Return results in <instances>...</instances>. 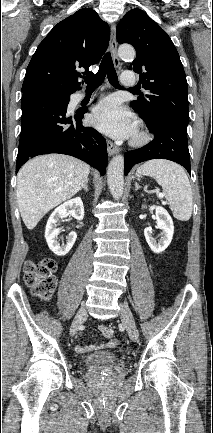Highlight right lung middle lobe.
Wrapping results in <instances>:
<instances>
[{
    "instance_id": "right-lung-middle-lobe-1",
    "label": "right lung middle lobe",
    "mask_w": 213,
    "mask_h": 433,
    "mask_svg": "<svg viewBox=\"0 0 213 433\" xmlns=\"http://www.w3.org/2000/svg\"><path fill=\"white\" fill-rule=\"evenodd\" d=\"M38 95L59 99L63 102L69 101L70 98V95H56V94H48V93H38Z\"/></svg>"
}]
</instances>
